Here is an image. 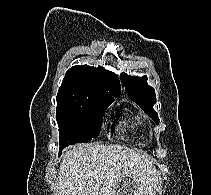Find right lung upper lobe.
Listing matches in <instances>:
<instances>
[{
	"label": "right lung upper lobe",
	"mask_w": 211,
	"mask_h": 195,
	"mask_svg": "<svg viewBox=\"0 0 211 195\" xmlns=\"http://www.w3.org/2000/svg\"><path fill=\"white\" fill-rule=\"evenodd\" d=\"M118 77L102 66H73L63 79L57 99L111 103L119 97Z\"/></svg>",
	"instance_id": "1"
}]
</instances>
